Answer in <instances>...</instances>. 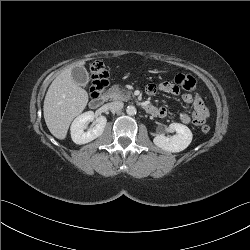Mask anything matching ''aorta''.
Wrapping results in <instances>:
<instances>
[{"mask_svg": "<svg viewBox=\"0 0 250 250\" xmlns=\"http://www.w3.org/2000/svg\"><path fill=\"white\" fill-rule=\"evenodd\" d=\"M128 115L132 116L136 114V108L134 106H128L126 109Z\"/></svg>", "mask_w": 250, "mask_h": 250, "instance_id": "obj_1", "label": "aorta"}]
</instances>
